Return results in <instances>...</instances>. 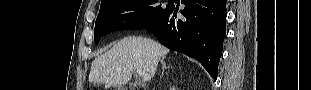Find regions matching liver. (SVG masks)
I'll return each mask as SVG.
<instances>
[{"label":"liver","instance_id":"obj_1","mask_svg":"<svg viewBox=\"0 0 311 90\" xmlns=\"http://www.w3.org/2000/svg\"><path fill=\"white\" fill-rule=\"evenodd\" d=\"M169 53L158 42L143 37H126L92 62L89 82L106 88L127 84L132 73L143 70L154 76L158 61Z\"/></svg>","mask_w":311,"mask_h":90}]
</instances>
